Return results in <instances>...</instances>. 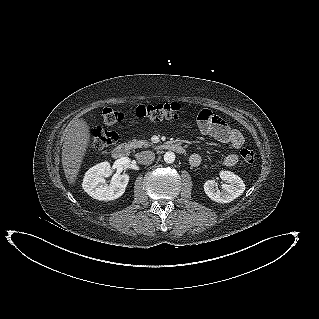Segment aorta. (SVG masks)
<instances>
[{
	"label": "aorta",
	"instance_id": "762f6f07",
	"mask_svg": "<svg viewBox=\"0 0 319 319\" xmlns=\"http://www.w3.org/2000/svg\"><path fill=\"white\" fill-rule=\"evenodd\" d=\"M164 161L166 163H173L175 161V154L173 152H166L164 154Z\"/></svg>",
	"mask_w": 319,
	"mask_h": 319
}]
</instances>
